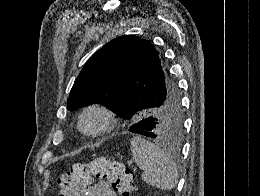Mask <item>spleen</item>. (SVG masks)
<instances>
[{
    "label": "spleen",
    "mask_w": 260,
    "mask_h": 196,
    "mask_svg": "<svg viewBox=\"0 0 260 196\" xmlns=\"http://www.w3.org/2000/svg\"><path fill=\"white\" fill-rule=\"evenodd\" d=\"M133 160L143 170L142 180L160 190H172L178 182V170L175 162L168 158L166 152L141 136L130 140Z\"/></svg>",
    "instance_id": "obj_1"
}]
</instances>
